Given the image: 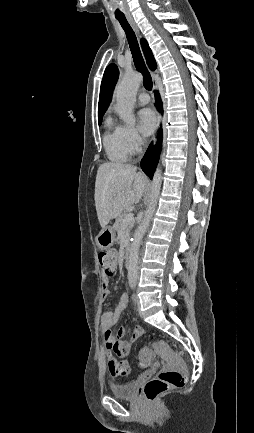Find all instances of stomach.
<instances>
[{"label":"stomach","mask_w":254,"mask_h":433,"mask_svg":"<svg viewBox=\"0 0 254 433\" xmlns=\"http://www.w3.org/2000/svg\"><path fill=\"white\" fill-rule=\"evenodd\" d=\"M115 242V231L113 227L103 228L96 238L97 246L100 249H107Z\"/></svg>","instance_id":"stomach-1"}]
</instances>
